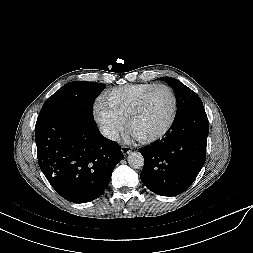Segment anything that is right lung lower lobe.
I'll use <instances>...</instances> for the list:
<instances>
[{
	"mask_svg": "<svg viewBox=\"0 0 253 253\" xmlns=\"http://www.w3.org/2000/svg\"><path fill=\"white\" fill-rule=\"evenodd\" d=\"M35 141L39 166L55 191L74 203L98 198L124 155L104 138L94 119L45 113L38 116Z\"/></svg>",
	"mask_w": 253,
	"mask_h": 253,
	"instance_id": "right-lung-lower-lobe-1",
	"label": "right lung lower lobe"
}]
</instances>
